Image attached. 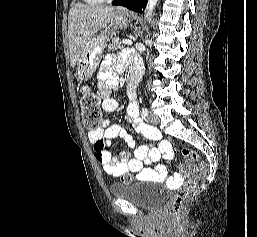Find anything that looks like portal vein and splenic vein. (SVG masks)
Returning a JSON list of instances; mask_svg holds the SVG:
<instances>
[{
  "instance_id": "18ae733b",
  "label": "portal vein and splenic vein",
  "mask_w": 257,
  "mask_h": 237,
  "mask_svg": "<svg viewBox=\"0 0 257 237\" xmlns=\"http://www.w3.org/2000/svg\"><path fill=\"white\" fill-rule=\"evenodd\" d=\"M122 43L126 45H132V41L127 39L123 40Z\"/></svg>"
}]
</instances>
